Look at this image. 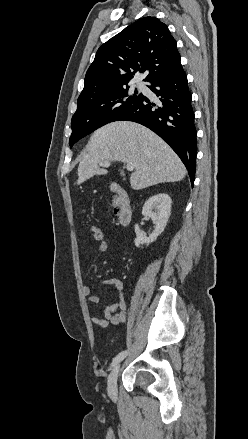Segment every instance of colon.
Returning <instances> with one entry per match:
<instances>
[{
	"label": "colon",
	"instance_id": "5ec220e1",
	"mask_svg": "<svg viewBox=\"0 0 248 439\" xmlns=\"http://www.w3.org/2000/svg\"><path fill=\"white\" fill-rule=\"evenodd\" d=\"M91 235L95 241H102L103 239V231L98 226H92Z\"/></svg>",
	"mask_w": 248,
	"mask_h": 439
}]
</instances>
